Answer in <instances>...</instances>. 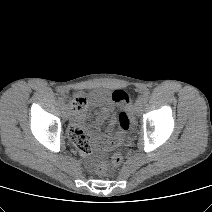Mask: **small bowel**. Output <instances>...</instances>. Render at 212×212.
<instances>
[{
  "label": "small bowel",
  "instance_id": "1",
  "mask_svg": "<svg viewBox=\"0 0 212 212\" xmlns=\"http://www.w3.org/2000/svg\"><path fill=\"white\" fill-rule=\"evenodd\" d=\"M82 98L87 105L88 101L84 97ZM91 102L98 106V110L95 113V122L91 125L86 126L85 120V109L81 112H75L72 119V126L69 130V136L72 140H76L85 145L86 150L84 153H89L91 150L90 134H96L100 125L107 119L111 118L110 123L107 126L106 132L96 142V146L110 150L118 146L122 142L120 135L113 133V126L115 124V117L113 116V107L108 101L107 93L104 91H96L91 95Z\"/></svg>",
  "mask_w": 212,
  "mask_h": 212
}]
</instances>
